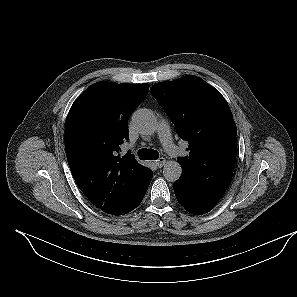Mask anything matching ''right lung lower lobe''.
I'll use <instances>...</instances> for the list:
<instances>
[{
	"instance_id": "1",
	"label": "right lung lower lobe",
	"mask_w": 297,
	"mask_h": 297,
	"mask_svg": "<svg viewBox=\"0 0 297 297\" xmlns=\"http://www.w3.org/2000/svg\"><path fill=\"white\" fill-rule=\"evenodd\" d=\"M152 177H153V173L151 172L149 177L145 180V182L141 185V187L135 192V194L129 199V201L121 209L113 213V215H123L135 209L142 202Z\"/></svg>"
}]
</instances>
